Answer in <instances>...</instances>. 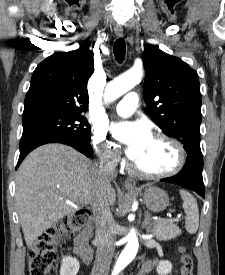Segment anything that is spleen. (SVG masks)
<instances>
[{"label":"spleen","mask_w":225,"mask_h":275,"mask_svg":"<svg viewBox=\"0 0 225 275\" xmlns=\"http://www.w3.org/2000/svg\"><path fill=\"white\" fill-rule=\"evenodd\" d=\"M183 209L187 216L185 228L188 233L195 234L199 227V210L196 199L187 191L180 190Z\"/></svg>","instance_id":"1"}]
</instances>
